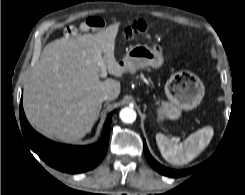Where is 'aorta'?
Listing matches in <instances>:
<instances>
[{
    "mask_svg": "<svg viewBox=\"0 0 245 195\" xmlns=\"http://www.w3.org/2000/svg\"><path fill=\"white\" fill-rule=\"evenodd\" d=\"M120 118L124 123H133L136 119V112L130 107L123 108L120 111Z\"/></svg>",
    "mask_w": 245,
    "mask_h": 195,
    "instance_id": "obj_1",
    "label": "aorta"
}]
</instances>
